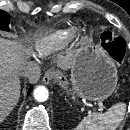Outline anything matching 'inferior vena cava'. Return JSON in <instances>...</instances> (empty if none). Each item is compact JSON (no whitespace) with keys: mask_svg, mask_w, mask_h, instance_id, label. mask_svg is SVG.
<instances>
[{"mask_svg":"<svg viewBox=\"0 0 130 130\" xmlns=\"http://www.w3.org/2000/svg\"><path fill=\"white\" fill-rule=\"evenodd\" d=\"M21 73L28 78L31 83H36L41 75L40 67L35 62H26L21 67Z\"/></svg>","mask_w":130,"mask_h":130,"instance_id":"602c4592","label":"inferior vena cava"}]
</instances>
